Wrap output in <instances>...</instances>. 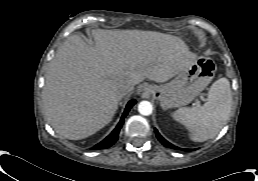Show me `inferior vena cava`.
Masks as SVG:
<instances>
[{"mask_svg":"<svg viewBox=\"0 0 258 181\" xmlns=\"http://www.w3.org/2000/svg\"><path fill=\"white\" fill-rule=\"evenodd\" d=\"M134 89L131 85L122 86L119 90V97L122 98L123 96H126L130 92H132Z\"/></svg>","mask_w":258,"mask_h":181,"instance_id":"obj_1","label":"inferior vena cava"}]
</instances>
